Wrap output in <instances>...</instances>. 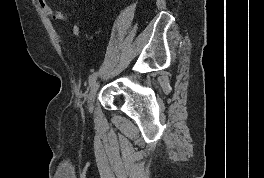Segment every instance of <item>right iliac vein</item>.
<instances>
[{
    "mask_svg": "<svg viewBox=\"0 0 264 178\" xmlns=\"http://www.w3.org/2000/svg\"><path fill=\"white\" fill-rule=\"evenodd\" d=\"M99 87V82L95 79L94 82L92 83L91 89L88 93L87 99H88V109L91 112L93 109V101L96 95V92Z\"/></svg>",
    "mask_w": 264,
    "mask_h": 178,
    "instance_id": "right-iliac-vein-1",
    "label": "right iliac vein"
}]
</instances>
